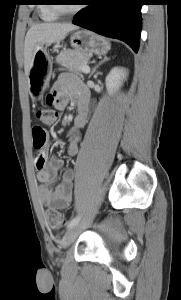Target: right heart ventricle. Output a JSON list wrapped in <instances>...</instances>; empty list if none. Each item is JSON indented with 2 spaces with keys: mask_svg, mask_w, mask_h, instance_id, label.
<instances>
[{
  "mask_svg": "<svg viewBox=\"0 0 181 300\" xmlns=\"http://www.w3.org/2000/svg\"><path fill=\"white\" fill-rule=\"evenodd\" d=\"M42 3L37 8L38 15L41 20L45 22H53L58 19V15L52 10L50 1L48 0H41Z\"/></svg>",
  "mask_w": 181,
  "mask_h": 300,
  "instance_id": "e07e8e85",
  "label": "right heart ventricle"
}]
</instances>
